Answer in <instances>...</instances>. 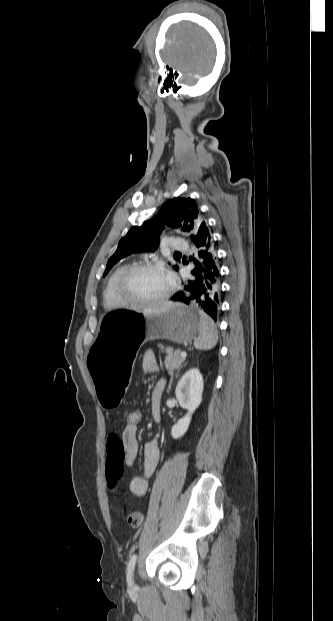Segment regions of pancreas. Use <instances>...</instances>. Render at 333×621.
<instances>
[{"mask_svg":"<svg viewBox=\"0 0 333 621\" xmlns=\"http://www.w3.org/2000/svg\"><path fill=\"white\" fill-rule=\"evenodd\" d=\"M159 348H161V350L164 351V346L159 345ZM165 353L167 354L166 358H165V367L168 371L169 374H173L174 371L179 370L181 367V364L184 362V358L180 357L181 354V350H175L173 351L171 348H166L165 349Z\"/></svg>","mask_w":333,"mask_h":621,"instance_id":"obj_1","label":"pancreas"}]
</instances>
